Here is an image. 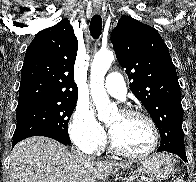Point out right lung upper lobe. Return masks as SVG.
<instances>
[{
	"mask_svg": "<svg viewBox=\"0 0 196 182\" xmlns=\"http://www.w3.org/2000/svg\"><path fill=\"white\" fill-rule=\"evenodd\" d=\"M77 50L78 41L67 18L37 33L26 50L18 105L77 98L73 72Z\"/></svg>",
	"mask_w": 196,
	"mask_h": 182,
	"instance_id": "obj_1",
	"label": "right lung upper lobe"
}]
</instances>
